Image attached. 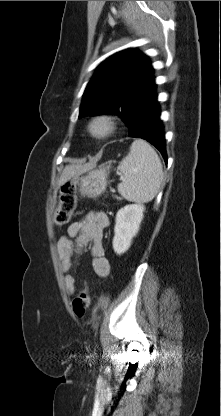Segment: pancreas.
<instances>
[{"label": "pancreas", "mask_w": 221, "mask_h": 416, "mask_svg": "<svg viewBox=\"0 0 221 416\" xmlns=\"http://www.w3.org/2000/svg\"><path fill=\"white\" fill-rule=\"evenodd\" d=\"M115 198H116L117 200H121V198H120V197H118V196H115Z\"/></svg>", "instance_id": "obj_1"}]
</instances>
